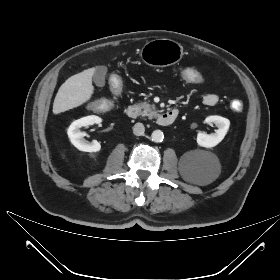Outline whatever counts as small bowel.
I'll list each match as a JSON object with an SVG mask.
<instances>
[{"mask_svg": "<svg viewBox=\"0 0 280 280\" xmlns=\"http://www.w3.org/2000/svg\"><path fill=\"white\" fill-rule=\"evenodd\" d=\"M218 96L215 93H207L203 97V104L207 107H213L218 103Z\"/></svg>", "mask_w": 280, "mask_h": 280, "instance_id": "1", "label": "small bowel"}]
</instances>
